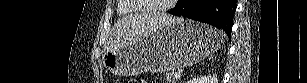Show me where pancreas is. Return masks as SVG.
<instances>
[{"label": "pancreas", "instance_id": "obj_1", "mask_svg": "<svg viewBox=\"0 0 307 83\" xmlns=\"http://www.w3.org/2000/svg\"><path fill=\"white\" fill-rule=\"evenodd\" d=\"M165 79L167 83H175V73L174 72H168L165 74Z\"/></svg>", "mask_w": 307, "mask_h": 83}]
</instances>
